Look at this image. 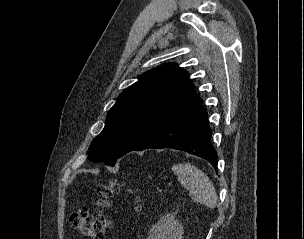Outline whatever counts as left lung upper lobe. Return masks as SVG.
Masks as SVG:
<instances>
[{"instance_id":"obj_1","label":"left lung upper lobe","mask_w":304,"mask_h":239,"mask_svg":"<svg viewBox=\"0 0 304 239\" xmlns=\"http://www.w3.org/2000/svg\"><path fill=\"white\" fill-rule=\"evenodd\" d=\"M197 100L188 73L176 63L144 73L108 112L103 131L89 147V159L114 166L118 158Z\"/></svg>"}]
</instances>
